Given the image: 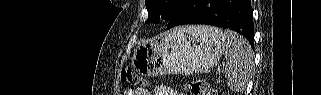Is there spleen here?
<instances>
[{"instance_id": "1", "label": "spleen", "mask_w": 321, "mask_h": 95, "mask_svg": "<svg viewBox=\"0 0 321 95\" xmlns=\"http://www.w3.org/2000/svg\"><path fill=\"white\" fill-rule=\"evenodd\" d=\"M204 34L218 36L224 41V55L226 58L225 75L228 86L235 91L243 90L249 79V71L253 65V53L245 38L233 31L221 32L219 29L200 26Z\"/></svg>"}]
</instances>
